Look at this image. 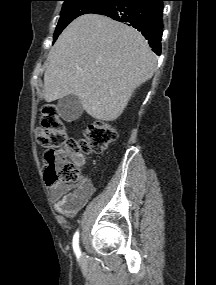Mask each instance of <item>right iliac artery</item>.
Returning <instances> with one entry per match:
<instances>
[{
    "label": "right iliac artery",
    "instance_id": "obj_1",
    "mask_svg": "<svg viewBox=\"0 0 216 285\" xmlns=\"http://www.w3.org/2000/svg\"><path fill=\"white\" fill-rule=\"evenodd\" d=\"M73 249L75 254L79 257L81 255L80 248H79V232L77 231L73 237Z\"/></svg>",
    "mask_w": 216,
    "mask_h": 285
}]
</instances>
